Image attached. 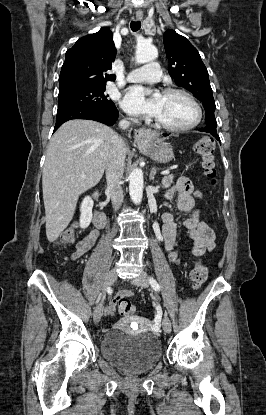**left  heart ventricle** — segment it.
<instances>
[{
	"label": "left heart ventricle",
	"instance_id": "obj_1",
	"mask_svg": "<svg viewBox=\"0 0 266 415\" xmlns=\"http://www.w3.org/2000/svg\"><path fill=\"white\" fill-rule=\"evenodd\" d=\"M156 119L170 126H185L193 122L196 112L192 104L178 94H163Z\"/></svg>",
	"mask_w": 266,
	"mask_h": 415
}]
</instances>
